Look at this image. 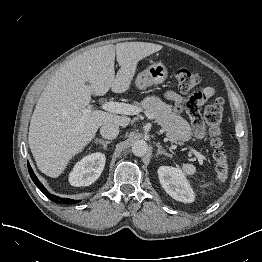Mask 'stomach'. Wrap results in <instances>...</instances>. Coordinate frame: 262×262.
I'll list each match as a JSON object with an SVG mask.
<instances>
[{
	"instance_id": "stomach-1",
	"label": "stomach",
	"mask_w": 262,
	"mask_h": 262,
	"mask_svg": "<svg viewBox=\"0 0 262 262\" xmlns=\"http://www.w3.org/2000/svg\"><path fill=\"white\" fill-rule=\"evenodd\" d=\"M167 68L161 62L154 63L139 73L135 79V85L140 90H145L153 84H161L167 78Z\"/></svg>"
}]
</instances>
